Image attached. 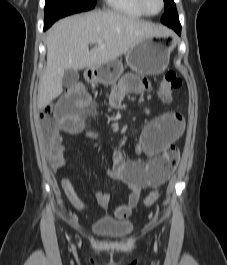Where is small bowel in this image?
<instances>
[{
	"instance_id": "obj_1",
	"label": "small bowel",
	"mask_w": 227,
	"mask_h": 265,
	"mask_svg": "<svg viewBox=\"0 0 227 265\" xmlns=\"http://www.w3.org/2000/svg\"><path fill=\"white\" fill-rule=\"evenodd\" d=\"M116 85L110 96V103L114 107H122L128 93L140 94L149 87L147 80L137 76V73L126 74L120 82H116ZM89 104H96V99L87 96L84 87H67V91H62V96L57 99L54 111L57 124L51 129L46 143V154L53 170L58 171L66 166L63 133L84 134L90 139H97V132L86 129L83 119V113ZM183 129L184 121L180 114L174 112L161 114L144 128L135 147L138 153L151 157L150 160L146 162L127 160L120 151L113 153L112 167L106 175L110 179L125 183L129 194L127 200L116 207L114 217L106 216L102 222L126 221L138 204L141 191L156 187L167 179L163 178V173L156 164L157 156L174 147L173 144L181 136ZM60 183L73 206L80 211L84 210V204L71 181L61 178ZM93 195L100 207L104 209L109 207L111 196L108 192L94 190Z\"/></svg>"
}]
</instances>
